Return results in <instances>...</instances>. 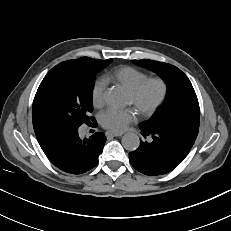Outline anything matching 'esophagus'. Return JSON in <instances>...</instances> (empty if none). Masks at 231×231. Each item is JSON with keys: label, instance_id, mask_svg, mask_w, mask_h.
Returning <instances> with one entry per match:
<instances>
[{"label": "esophagus", "instance_id": "obj_1", "mask_svg": "<svg viewBox=\"0 0 231 231\" xmlns=\"http://www.w3.org/2000/svg\"><path fill=\"white\" fill-rule=\"evenodd\" d=\"M123 135V132H106L107 137H120Z\"/></svg>", "mask_w": 231, "mask_h": 231}]
</instances>
